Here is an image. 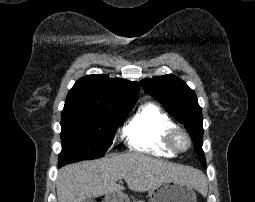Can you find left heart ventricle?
<instances>
[{
    "label": "left heart ventricle",
    "mask_w": 255,
    "mask_h": 202,
    "mask_svg": "<svg viewBox=\"0 0 255 202\" xmlns=\"http://www.w3.org/2000/svg\"><path fill=\"white\" fill-rule=\"evenodd\" d=\"M177 144H178L179 147L184 148L187 144L186 139L183 136L179 135L177 137Z\"/></svg>",
    "instance_id": "left-heart-ventricle-1"
}]
</instances>
